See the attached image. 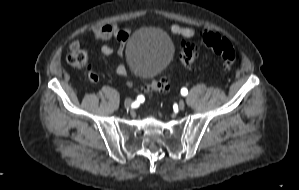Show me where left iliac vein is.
<instances>
[{"mask_svg":"<svg viewBox=\"0 0 299 190\" xmlns=\"http://www.w3.org/2000/svg\"><path fill=\"white\" fill-rule=\"evenodd\" d=\"M178 108H179L180 110H183V109L185 108V102L182 101V100L179 101Z\"/></svg>","mask_w":299,"mask_h":190,"instance_id":"obj_1","label":"left iliac vein"}]
</instances>
